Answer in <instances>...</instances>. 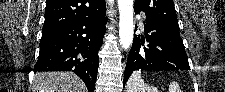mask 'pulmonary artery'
<instances>
[{"mask_svg":"<svg viewBox=\"0 0 225 92\" xmlns=\"http://www.w3.org/2000/svg\"><path fill=\"white\" fill-rule=\"evenodd\" d=\"M138 22L140 25H143V17H138Z\"/></svg>","mask_w":225,"mask_h":92,"instance_id":"obj_1","label":"pulmonary artery"}]
</instances>
